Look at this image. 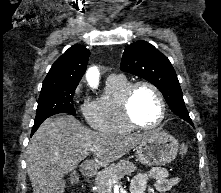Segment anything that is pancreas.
Masks as SVG:
<instances>
[{
  "instance_id": "1",
  "label": "pancreas",
  "mask_w": 221,
  "mask_h": 193,
  "mask_svg": "<svg viewBox=\"0 0 221 193\" xmlns=\"http://www.w3.org/2000/svg\"><path fill=\"white\" fill-rule=\"evenodd\" d=\"M137 167L129 160H120L117 163L111 164L105 169L96 174L94 181L97 193H107L112 181L119 180L125 175H131Z\"/></svg>"
}]
</instances>
